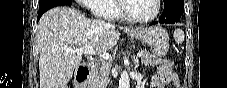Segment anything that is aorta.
<instances>
[{
  "mask_svg": "<svg viewBox=\"0 0 227 88\" xmlns=\"http://www.w3.org/2000/svg\"><path fill=\"white\" fill-rule=\"evenodd\" d=\"M129 87H130L129 75L126 71H123L119 79V88H129Z\"/></svg>",
  "mask_w": 227,
  "mask_h": 88,
  "instance_id": "1",
  "label": "aorta"
}]
</instances>
